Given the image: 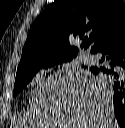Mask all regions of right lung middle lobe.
I'll use <instances>...</instances> for the list:
<instances>
[{
  "instance_id": "right-lung-middle-lobe-1",
  "label": "right lung middle lobe",
  "mask_w": 125,
  "mask_h": 128,
  "mask_svg": "<svg viewBox=\"0 0 125 128\" xmlns=\"http://www.w3.org/2000/svg\"><path fill=\"white\" fill-rule=\"evenodd\" d=\"M71 59H60L54 58L45 61H40L28 66L25 69L18 70L16 74L15 84H14V92L13 95L16 96L19 92L23 90V88L32 80V78L36 75V73L40 69H48L50 67L57 66L62 63H66L71 61ZM97 78L102 81H106V76L104 74L97 75Z\"/></svg>"
}]
</instances>
